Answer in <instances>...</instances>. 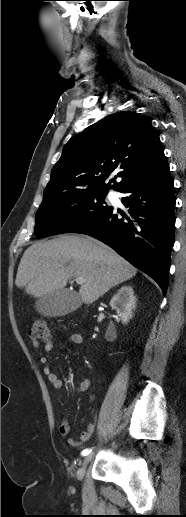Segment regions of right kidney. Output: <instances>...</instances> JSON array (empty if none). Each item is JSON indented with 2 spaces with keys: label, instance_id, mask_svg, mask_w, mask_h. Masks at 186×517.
Instances as JSON below:
<instances>
[{
  "label": "right kidney",
  "instance_id": "right-kidney-1",
  "mask_svg": "<svg viewBox=\"0 0 186 517\" xmlns=\"http://www.w3.org/2000/svg\"><path fill=\"white\" fill-rule=\"evenodd\" d=\"M110 306L115 309L123 324L132 318V310L136 306V297L131 286H123L112 297Z\"/></svg>",
  "mask_w": 186,
  "mask_h": 517
}]
</instances>
